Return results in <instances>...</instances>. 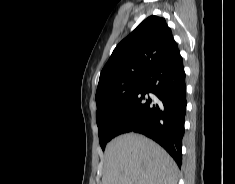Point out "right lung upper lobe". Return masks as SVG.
Instances as JSON below:
<instances>
[{"label": "right lung upper lobe", "mask_w": 235, "mask_h": 184, "mask_svg": "<svg viewBox=\"0 0 235 184\" xmlns=\"http://www.w3.org/2000/svg\"><path fill=\"white\" fill-rule=\"evenodd\" d=\"M178 50L165 19L154 15L146 18L116 46L102 69L96 92L97 106L104 102L109 89L143 79Z\"/></svg>", "instance_id": "cb5924a9"}]
</instances>
